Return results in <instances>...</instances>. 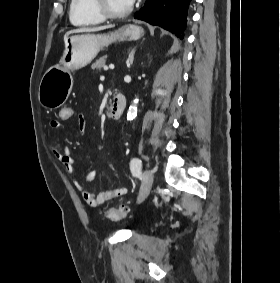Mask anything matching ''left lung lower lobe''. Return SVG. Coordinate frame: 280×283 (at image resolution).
<instances>
[{"label":"left lung lower lobe","mask_w":280,"mask_h":283,"mask_svg":"<svg viewBox=\"0 0 280 283\" xmlns=\"http://www.w3.org/2000/svg\"><path fill=\"white\" fill-rule=\"evenodd\" d=\"M191 0H148L134 18L160 26L181 39L187 23Z\"/></svg>","instance_id":"left-lung-lower-lobe-1"}]
</instances>
